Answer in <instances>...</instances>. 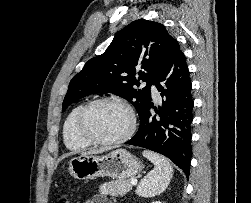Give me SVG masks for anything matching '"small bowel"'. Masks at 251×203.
I'll return each instance as SVG.
<instances>
[{"label":"small bowel","instance_id":"c3829d8e","mask_svg":"<svg viewBox=\"0 0 251 203\" xmlns=\"http://www.w3.org/2000/svg\"><path fill=\"white\" fill-rule=\"evenodd\" d=\"M85 203H112L108 198L102 195L90 197Z\"/></svg>","mask_w":251,"mask_h":203}]
</instances>
